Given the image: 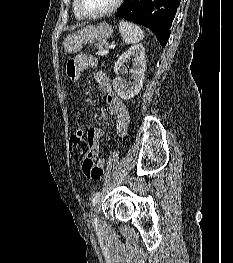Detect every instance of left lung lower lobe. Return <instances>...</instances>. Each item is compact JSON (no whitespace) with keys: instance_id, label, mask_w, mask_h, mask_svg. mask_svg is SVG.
<instances>
[{"instance_id":"0a47b994","label":"left lung lower lobe","mask_w":233,"mask_h":263,"mask_svg":"<svg viewBox=\"0 0 233 263\" xmlns=\"http://www.w3.org/2000/svg\"><path fill=\"white\" fill-rule=\"evenodd\" d=\"M181 0H125L116 15L148 27L162 47L169 39L173 19Z\"/></svg>"}]
</instances>
